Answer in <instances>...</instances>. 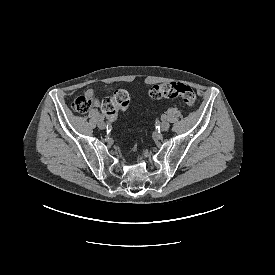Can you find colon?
<instances>
[{"mask_svg": "<svg viewBox=\"0 0 275 275\" xmlns=\"http://www.w3.org/2000/svg\"><path fill=\"white\" fill-rule=\"evenodd\" d=\"M149 95L154 99H164V98H179L187 106L191 108L196 107V94L194 90L187 84L183 82H165L154 85L150 91ZM131 103V98L126 90H117L112 96L105 97L100 102L101 111L104 116L110 120H115L117 112L119 110H126ZM93 106L92 99L87 96H80L76 98L72 107L74 111L84 114L88 112Z\"/></svg>", "mask_w": 275, "mask_h": 275, "instance_id": "5ec220e1", "label": "colon"}]
</instances>
